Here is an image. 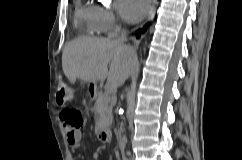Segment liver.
I'll use <instances>...</instances> for the list:
<instances>
[{
    "instance_id": "liver-1",
    "label": "liver",
    "mask_w": 242,
    "mask_h": 160,
    "mask_svg": "<svg viewBox=\"0 0 242 160\" xmlns=\"http://www.w3.org/2000/svg\"><path fill=\"white\" fill-rule=\"evenodd\" d=\"M128 47L130 46L121 45L111 39L78 37L63 49V72L71 83H75L76 79L89 83L107 79L110 91L115 92L117 87L132 75L122 73V68H119L122 51ZM136 64L137 60L132 63V68H135Z\"/></svg>"
}]
</instances>
